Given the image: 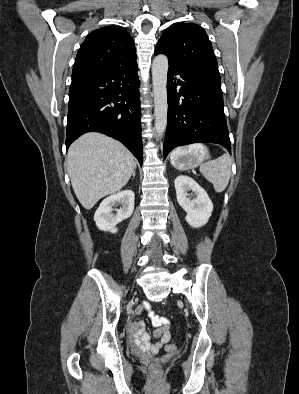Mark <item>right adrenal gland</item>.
I'll return each mask as SVG.
<instances>
[{
	"instance_id": "2a0ac1e0",
	"label": "right adrenal gland",
	"mask_w": 299,
	"mask_h": 394,
	"mask_svg": "<svg viewBox=\"0 0 299 394\" xmlns=\"http://www.w3.org/2000/svg\"><path fill=\"white\" fill-rule=\"evenodd\" d=\"M135 175H136V168L133 171L132 177L135 178Z\"/></svg>"
}]
</instances>
